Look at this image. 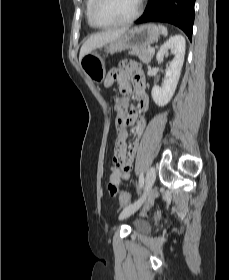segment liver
I'll return each mask as SVG.
<instances>
[{"label":"liver","instance_id":"obj_1","mask_svg":"<svg viewBox=\"0 0 229 280\" xmlns=\"http://www.w3.org/2000/svg\"><path fill=\"white\" fill-rule=\"evenodd\" d=\"M128 29H115V30H108L102 33H97L91 35L82 45L79 53V61L88 53L92 52L93 50L102 47L106 43L113 41L126 33Z\"/></svg>","mask_w":229,"mask_h":280}]
</instances>
